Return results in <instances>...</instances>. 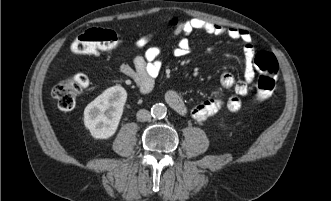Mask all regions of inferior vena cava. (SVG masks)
<instances>
[{"label":"inferior vena cava","instance_id":"1","mask_svg":"<svg viewBox=\"0 0 331 201\" xmlns=\"http://www.w3.org/2000/svg\"><path fill=\"white\" fill-rule=\"evenodd\" d=\"M137 120L141 122L149 121L151 119V114L146 109H140L136 114Z\"/></svg>","mask_w":331,"mask_h":201}]
</instances>
